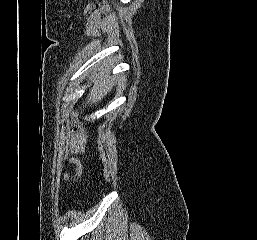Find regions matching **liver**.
<instances>
[{
    "instance_id": "6515ba94",
    "label": "liver",
    "mask_w": 257,
    "mask_h": 240,
    "mask_svg": "<svg viewBox=\"0 0 257 240\" xmlns=\"http://www.w3.org/2000/svg\"><path fill=\"white\" fill-rule=\"evenodd\" d=\"M108 72V69H104V71H102L98 77L92 76L93 87L89 91L86 101L87 104L96 105L104 98L105 95H107V93L112 90L114 83L112 78L107 76ZM76 115H78L77 111Z\"/></svg>"
}]
</instances>
